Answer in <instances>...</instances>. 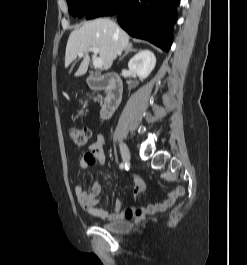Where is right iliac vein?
Returning <instances> with one entry per match:
<instances>
[{
  "label": "right iliac vein",
  "instance_id": "obj_1",
  "mask_svg": "<svg viewBox=\"0 0 247 265\" xmlns=\"http://www.w3.org/2000/svg\"><path fill=\"white\" fill-rule=\"evenodd\" d=\"M120 152H121V157H122L123 161L125 163H128L129 160H130L131 155H130L129 148L123 142L120 144Z\"/></svg>",
  "mask_w": 247,
  "mask_h": 265
}]
</instances>
